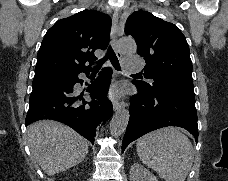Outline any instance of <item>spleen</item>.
<instances>
[{
  "label": "spleen",
  "instance_id": "3e777b00",
  "mask_svg": "<svg viewBox=\"0 0 228 181\" xmlns=\"http://www.w3.org/2000/svg\"><path fill=\"white\" fill-rule=\"evenodd\" d=\"M136 149L143 165L164 181H185L194 159L191 141L174 127L144 135L138 139Z\"/></svg>",
  "mask_w": 228,
  "mask_h": 181
}]
</instances>
